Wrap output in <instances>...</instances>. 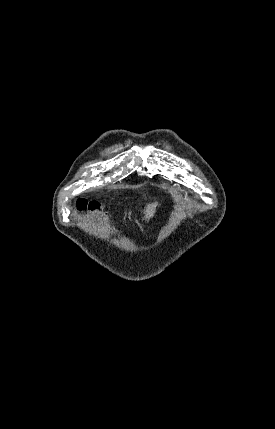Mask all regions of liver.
I'll list each match as a JSON object with an SVG mask.
<instances>
[{"label": "liver", "instance_id": "1", "mask_svg": "<svg viewBox=\"0 0 275 429\" xmlns=\"http://www.w3.org/2000/svg\"><path fill=\"white\" fill-rule=\"evenodd\" d=\"M156 206H157V202L146 205V207L144 209V219L146 221H149L150 218H152L154 216Z\"/></svg>", "mask_w": 275, "mask_h": 429}]
</instances>
